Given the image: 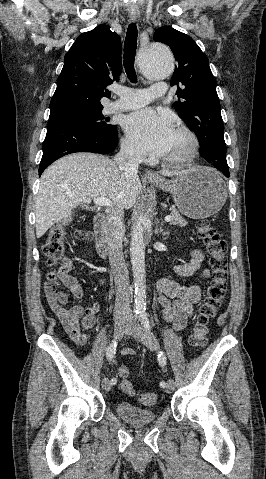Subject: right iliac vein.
Returning <instances> with one entry per match:
<instances>
[{"instance_id": "obj_1", "label": "right iliac vein", "mask_w": 266, "mask_h": 479, "mask_svg": "<svg viewBox=\"0 0 266 479\" xmlns=\"http://www.w3.org/2000/svg\"><path fill=\"white\" fill-rule=\"evenodd\" d=\"M128 327V324L126 322H118L115 324V327H114V333H113V338L114 340H119L124 332L126 331ZM102 388L104 391H110L111 389V383L110 381L108 380V378H104L102 380Z\"/></svg>"}]
</instances>
